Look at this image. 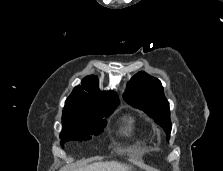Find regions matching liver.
Segmentation results:
<instances>
[{
  "label": "liver",
  "instance_id": "6515ba94",
  "mask_svg": "<svg viewBox=\"0 0 223 171\" xmlns=\"http://www.w3.org/2000/svg\"><path fill=\"white\" fill-rule=\"evenodd\" d=\"M70 171H133L131 166L117 161L98 162L90 165L80 166Z\"/></svg>",
  "mask_w": 223,
  "mask_h": 171
}]
</instances>
